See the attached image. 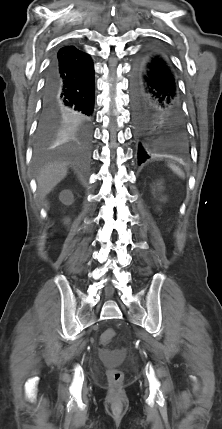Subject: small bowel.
Returning a JSON list of instances; mask_svg holds the SVG:
<instances>
[{"label":"small bowel","mask_w":222,"mask_h":429,"mask_svg":"<svg viewBox=\"0 0 222 429\" xmlns=\"http://www.w3.org/2000/svg\"><path fill=\"white\" fill-rule=\"evenodd\" d=\"M102 354L105 357H110L112 355V352L108 351V350H102Z\"/></svg>","instance_id":"small-bowel-1"}]
</instances>
